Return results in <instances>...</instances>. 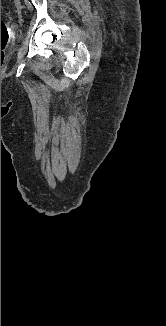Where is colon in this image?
<instances>
[{
    "instance_id": "colon-1",
    "label": "colon",
    "mask_w": 166,
    "mask_h": 326,
    "mask_svg": "<svg viewBox=\"0 0 166 326\" xmlns=\"http://www.w3.org/2000/svg\"><path fill=\"white\" fill-rule=\"evenodd\" d=\"M9 34L5 22L1 20V66L5 60V48L7 46Z\"/></svg>"
}]
</instances>
